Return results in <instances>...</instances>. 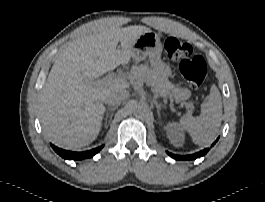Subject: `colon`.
Wrapping results in <instances>:
<instances>
[{
	"mask_svg": "<svg viewBox=\"0 0 265 202\" xmlns=\"http://www.w3.org/2000/svg\"><path fill=\"white\" fill-rule=\"evenodd\" d=\"M163 46L168 57L179 63V70L191 87L197 88L205 81L207 75L205 61L201 56L193 55L189 44L168 36L164 39Z\"/></svg>",
	"mask_w": 265,
	"mask_h": 202,
	"instance_id": "1",
	"label": "colon"
}]
</instances>
